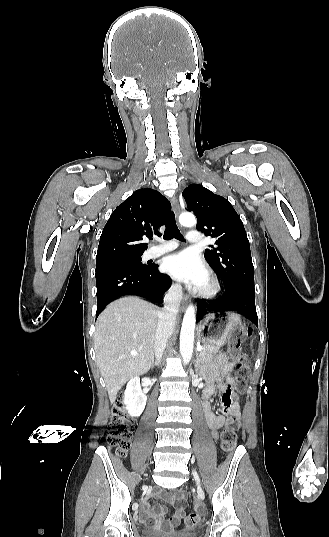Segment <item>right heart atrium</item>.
Returning <instances> with one entry per match:
<instances>
[{
  "mask_svg": "<svg viewBox=\"0 0 329 537\" xmlns=\"http://www.w3.org/2000/svg\"><path fill=\"white\" fill-rule=\"evenodd\" d=\"M172 290H173L174 292H177L176 287H172Z\"/></svg>",
  "mask_w": 329,
  "mask_h": 537,
  "instance_id": "obj_1",
  "label": "right heart atrium"
}]
</instances>
